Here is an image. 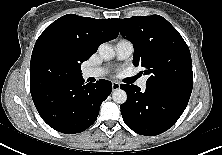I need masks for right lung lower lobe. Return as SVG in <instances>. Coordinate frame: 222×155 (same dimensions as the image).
<instances>
[{
  "label": "right lung lower lobe",
  "mask_w": 222,
  "mask_h": 155,
  "mask_svg": "<svg viewBox=\"0 0 222 155\" xmlns=\"http://www.w3.org/2000/svg\"><path fill=\"white\" fill-rule=\"evenodd\" d=\"M110 81L84 84L82 76L63 80L32 93L42 119L54 130L75 134L86 130L97 119L101 103L110 95Z\"/></svg>",
  "instance_id": "right-lung-lower-lobe-1"
}]
</instances>
